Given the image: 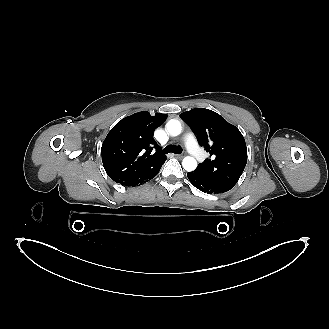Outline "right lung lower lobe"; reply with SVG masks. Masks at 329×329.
I'll return each mask as SVG.
<instances>
[{
  "mask_svg": "<svg viewBox=\"0 0 329 329\" xmlns=\"http://www.w3.org/2000/svg\"><path fill=\"white\" fill-rule=\"evenodd\" d=\"M162 164H163V162L160 163V164H158V165H157L153 170H151L147 175L143 176V177L140 178L139 180H137V181H135L134 183L129 184V185H127V186H133V187H134V186L141 185L142 183H145V182L151 180L153 177H155V176L158 174V172H159V170H160Z\"/></svg>",
  "mask_w": 329,
  "mask_h": 329,
  "instance_id": "98d812e1",
  "label": "right lung lower lobe"
}]
</instances>
